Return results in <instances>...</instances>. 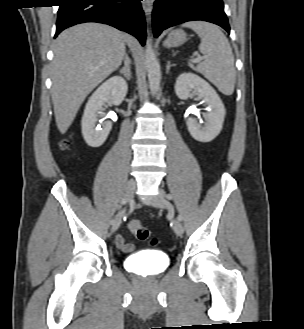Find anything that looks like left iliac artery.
<instances>
[{
  "mask_svg": "<svg viewBox=\"0 0 304 329\" xmlns=\"http://www.w3.org/2000/svg\"><path fill=\"white\" fill-rule=\"evenodd\" d=\"M166 198L169 199V200H172L173 196L171 194H166ZM177 218H178L179 221H182V216L181 215H178Z\"/></svg>",
  "mask_w": 304,
  "mask_h": 329,
  "instance_id": "left-iliac-artery-1",
  "label": "left iliac artery"
}]
</instances>
